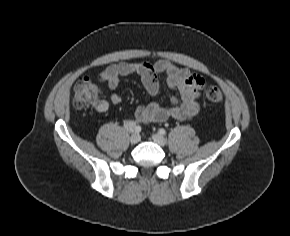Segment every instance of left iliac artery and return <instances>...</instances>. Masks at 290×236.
I'll return each mask as SVG.
<instances>
[{
    "label": "left iliac artery",
    "instance_id": "44dca946",
    "mask_svg": "<svg viewBox=\"0 0 290 236\" xmlns=\"http://www.w3.org/2000/svg\"><path fill=\"white\" fill-rule=\"evenodd\" d=\"M158 132H159V134H161V135H165V134H166V130L163 129V128H160Z\"/></svg>",
    "mask_w": 290,
    "mask_h": 236
}]
</instances>
